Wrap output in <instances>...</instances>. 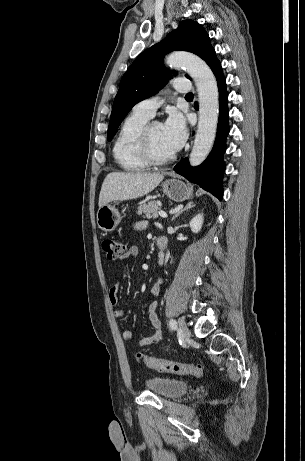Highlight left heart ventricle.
Segmentation results:
<instances>
[{
    "label": "left heart ventricle",
    "instance_id": "1",
    "mask_svg": "<svg viewBox=\"0 0 305 461\" xmlns=\"http://www.w3.org/2000/svg\"><path fill=\"white\" fill-rule=\"evenodd\" d=\"M151 147L157 157H165L173 153L165 141L161 124L154 126L151 131Z\"/></svg>",
    "mask_w": 305,
    "mask_h": 461
}]
</instances>
